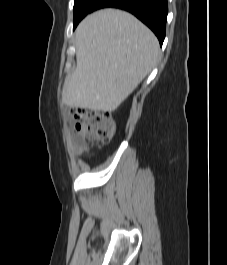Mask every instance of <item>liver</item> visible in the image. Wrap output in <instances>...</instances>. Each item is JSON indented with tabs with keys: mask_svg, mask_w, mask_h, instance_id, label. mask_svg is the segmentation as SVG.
Segmentation results:
<instances>
[{
	"mask_svg": "<svg viewBox=\"0 0 227 265\" xmlns=\"http://www.w3.org/2000/svg\"><path fill=\"white\" fill-rule=\"evenodd\" d=\"M77 65L62 102L112 112L151 72L160 48L156 36L133 15L104 9L84 18L75 32Z\"/></svg>",
	"mask_w": 227,
	"mask_h": 265,
	"instance_id": "obj_1",
	"label": "liver"
}]
</instances>
